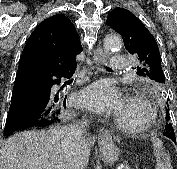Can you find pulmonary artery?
<instances>
[{
	"mask_svg": "<svg viewBox=\"0 0 177 169\" xmlns=\"http://www.w3.org/2000/svg\"><path fill=\"white\" fill-rule=\"evenodd\" d=\"M126 60L123 56H113L110 60V67L112 70H121L125 67Z\"/></svg>",
	"mask_w": 177,
	"mask_h": 169,
	"instance_id": "1",
	"label": "pulmonary artery"
}]
</instances>
